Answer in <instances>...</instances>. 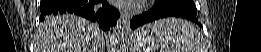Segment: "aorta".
<instances>
[{
    "label": "aorta",
    "mask_w": 261,
    "mask_h": 52,
    "mask_svg": "<svg viewBox=\"0 0 261 52\" xmlns=\"http://www.w3.org/2000/svg\"><path fill=\"white\" fill-rule=\"evenodd\" d=\"M126 28L118 24L111 34V42L115 51L123 50Z\"/></svg>",
    "instance_id": "762f6f07"
}]
</instances>
